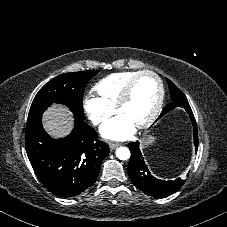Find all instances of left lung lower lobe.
Instances as JSON below:
<instances>
[{
	"label": "left lung lower lobe",
	"instance_id": "left-lung-lower-lobe-1",
	"mask_svg": "<svg viewBox=\"0 0 227 227\" xmlns=\"http://www.w3.org/2000/svg\"><path fill=\"white\" fill-rule=\"evenodd\" d=\"M194 132V145L195 151L197 152L198 146V130L194 115H189ZM129 149L131 151V158L128 163V174L132 183L141 191L147 195L153 197H167L179 190L185 183V179H175V180H161L157 179L148 170L144 159L141 155L139 142H132L129 144Z\"/></svg>",
	"mask_w": 227,
	"mask_h": 227
}]
</instances>
